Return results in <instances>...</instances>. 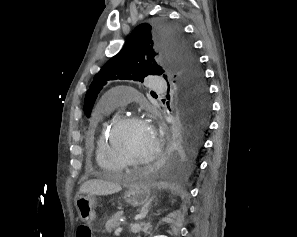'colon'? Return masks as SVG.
I'll return each instance as SVG.
<instances>
[{"instance_id":"5ec220e1","label":"colon","mask_w":297,"mask_h":237,"mask_svg":"<svg viewBox=\"0 0 297 237\" xmlns=\"http://www.w3.org/2000/svg\"><path fill=\"white\" fill-rule=\"evenodd\" d=\"M76 237H92L89 227L86 225H80L76 230Z\"/></svg>"}]
</instances>
